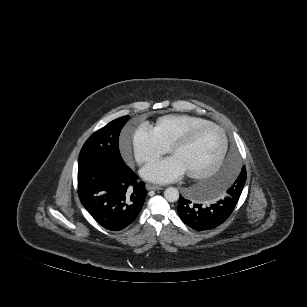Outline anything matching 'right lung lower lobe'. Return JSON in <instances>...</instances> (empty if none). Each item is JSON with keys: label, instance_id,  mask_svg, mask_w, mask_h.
<instances>
[{"label": "right lung lower lobe", "instance_id": "1", "mask_svg": "<svg viewBox=\"0 0 307 307\" xmlns=\"http://www.w3.org/2000/svg\"><path fill=\"white\" fill-rule=\"evenodd\" d=\"M124 163L92 161L78 165V195L82 205L104 228L118 231L138 216L147 191L144 182Z\"/></svg>", "mask_w": 307, "mask_h": 307}]
</instances>
